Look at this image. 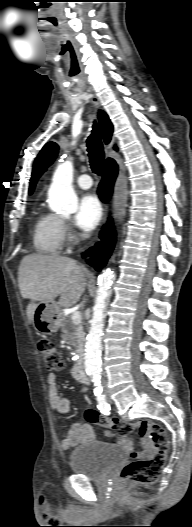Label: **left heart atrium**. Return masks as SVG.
Masks as SVG:
<instances>
[{
  "label": "left heart atrium",
  "instance_id": "left-heart-atrium-1",
  "mask_svg": "<svg viewBox=\"0 0 192 527\" xmlns=\"http://www.w3.org/2000/svg\"><path fill=\"white\" fill-rule=\"evenodd\" d=\"M102 207L98 199L91 194L80 199L78 210L75 215V224L78 228L90 231L100 222Z\"/></svg>",
  "mask_w": 192,
  "mask_h": 527
}]
</instances>
